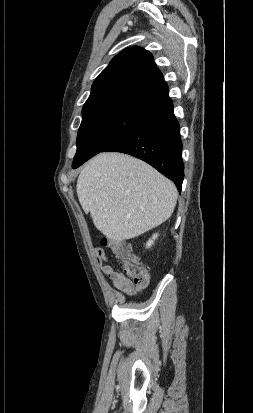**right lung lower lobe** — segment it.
<instances>
[{
    "instance_id": "right-lung-lower-lobe-1",
    "label": "right lung lower lobe",
    "mask_w": 253,
    "mask_h": 413,
    "mask_svg": "<svg viewBox=\"0 0 253 413\" xmlns=\"http://www.w3.org/2000/svg\"><path fill=\"white\" fill-rule=\"evenodd\" d=\"M106 151L126 153L147 162L171 179L181 191L184 178L182 142L173 104L150 115L138 128L103 152Z\"/></svg>"
}]
</instances>
